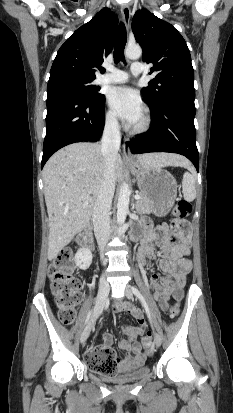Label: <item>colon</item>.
Masks as SVG:
<instances>
[{"label": "colon", "mask_w": 233, "mask_h": 413, "mask_svg": "<svg viewBox=\"0 0 233 413\" xmlns=\"http://www.w3.org/2000/svg\"><path fill=\"white\" fill-rule=\"evenodd\" d=\"M192 212V205L186 199H180L174 209L175 216L182 220L188 217ZM49 277L51 280V291L54 296L58 317L65 325L73 323L76 317V308L81 300L80 281L75 273L72 254L68 250L62 251L49 266ZM172 317L179 314V305L175 300L170 309ZM152 339L146 335L142 344L145 350L151 347ZM87 365L104 374L118 373L115 353L108 348H102L94 356L85 358Z\"/></svg>", "instance_id": "colon-1"}]
</instances>
